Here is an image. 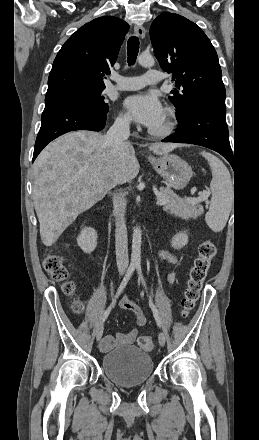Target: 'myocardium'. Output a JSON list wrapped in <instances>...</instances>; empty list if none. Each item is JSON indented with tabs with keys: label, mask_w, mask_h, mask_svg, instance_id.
<instances>
[{
	"label": "myocardium",
	"mask_w": 259,
	"mask_h": 440,
	"mask_svg": "<svg viewBox=\"0 0 259 440\" xmlns=\"http://www.w3.org/2000/svg\"><path fill=\"white\" fill-rule=\"evenodd\" d=\"M175 128L174 112L172 109L167 108L164 113V121L159 128H150L149 133L156 137H166L170 135Z\"/></svg>",
	"instance_id": "1"
}]
</instances>
